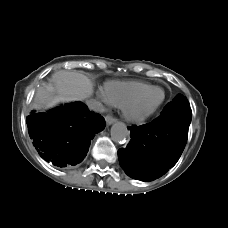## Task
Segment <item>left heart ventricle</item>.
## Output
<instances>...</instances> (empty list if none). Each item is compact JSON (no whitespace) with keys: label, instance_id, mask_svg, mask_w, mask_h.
<instances>
[{"label":"left heart ventricle","instance_id":"obj_1","mask_svg":"<svg viewBox=\"0 0 228 228\" xmlns=\"http://www.w3.org/2000/svg\"><path fill=\"white\" fill-rule=\"evenodd\" d=\"M162 97L161 90H152L145 94L134 106V110H144L155 106Z\"/></svg>","mask_w":228,"mask_h":228}]
</instances>
